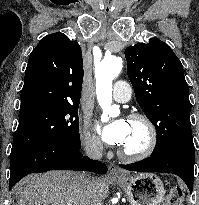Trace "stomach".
<instances>
[{"label": "stomach", "mask_w": 199, "mask_h": 205, "mask_svg": "<svg viewBox=\"0 0 199 205\" xmlns=\"http://www.w3.org/2000/svg\"><path fill=\"white\" fill-rule=\"evenodd\" d=\"M115 182L125 191L131 205H160L166 192L162 180L152 173L123 175Z\"/></svg>", "instance_id": "0dacf381"}]
</instances>
